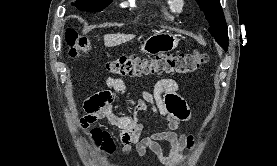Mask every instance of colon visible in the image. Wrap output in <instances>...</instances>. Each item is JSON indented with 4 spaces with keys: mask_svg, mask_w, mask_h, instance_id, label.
I'll use <instances>...</instances> for the list:
<instances>
[{
    "mask_svg": "<svg viewBox=\"0 0 277 166\" xmlns=\"http://www.w3.org/2000/svg\"><path fill=\"white\" fill-rule=\"evenodd\" d=\"M69 54L76 57L91 50L87 38H78L74 31L65 33ZM207 62V55L199 51L180 54H157L151 57L128 55L108 61L106 70L114 75L140 76L153 74H188L197 71Z\"/></svg>",
    "mask_w": 277,
    "mask_h": 166,
    "instance_id": "colon-1",
    "label": "colon"
}]
</instances>
